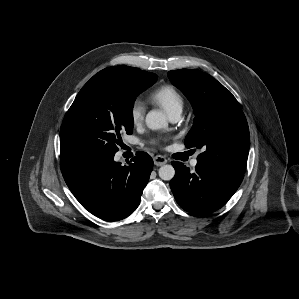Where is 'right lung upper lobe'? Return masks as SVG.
Segmentation results:
<instances>
[{
  "label": "right lung upper lobe",
  "mask_w": 299,
  "mask_h": 299,
  "mask_svg": "<svg viewBox=\"0 0 299 299\" xmlns=\"http://www.w3.org/2000/svg\"><path fill=\"white\" fill-rule=\"evenodd\" d=\"M121 70H123L124 72H126L127 74H129L131 77L136 78V79H153L156 78L157 75L154 73H150V72H146L143 70H140L138 68H133V67H128V66H115Z\"/></svg>",
  "instance_id": "obj_1"
}]
</instances>
